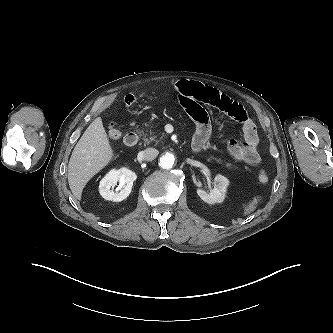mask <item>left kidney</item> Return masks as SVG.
Wrapping results in <instances>:
<instances>
[{"mask_svg":"<svg viewBox=\"0 0 333 333\" xmlns=\"http://www.w3.org/2000/svg\"><path fill=\"white\" fill-rule=\"evenodd\" d=\"M229 185V180L218 174L214 178V188L207 193L202 189H197L198 196L208 204L222 203L225 199V194L227 187Z\"/></svg>","mask_w":333,"mask_h":333,"instance_id":"left-kidney-1","label":"left kidney"}]
</instances>
